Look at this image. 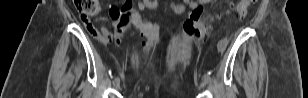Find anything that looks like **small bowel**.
Returning <instances> with one entry per match:
<instances>
[{
  "label": "small bowel",
  "mask_w": 308,
  "mask_h": 98,
  "mask_svg": "<svg viewBox=\"0 0 308 98\" xmlns=\"http://www.w3.org/2000/svg\"><path fill=\"white\" fill-rule=\"evenodd\" d=\"M205 3V1H192V0H182L180 3H171V8L175 13H183L185 11L186 8H189L191 10H194L198 7H201V5ZM157 6V1H150V0H143V1H139L136 5V9H139L140 11L144 10L145 8H149V9H153ZM133 9V8H132ZM135 9V10H136ZM140 16V15H139ZM114 20H117L116 18H113ZM117 24H119L118 20H117ZM116 24V25H117ZM89 30V29H88ZM92 34H94V31H96L94 29V31L89 30ZM97 32V31H96ZM100 33L101 34H107V33H111L108 31V29L104 26L101 25L100 27ZM226 39H222L219 43H218V50L219 51H224L225 47H226Z\"/></svg>",
  "instance_id": "small-bowel-1"
}]
</instances>
